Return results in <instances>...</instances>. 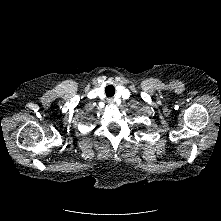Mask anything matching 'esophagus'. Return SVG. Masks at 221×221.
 Here are the masks:
<instances>
[{
	"label": "esophagus",
	"mask_w": 221,
	"mask_h": 221,
	"mask_svg": "<svg viewBox=\"0 0 221 221\" xmlns=\"http://www.w3.org/2000/svg\"><path fill=\"white\" fill-rule=\"evenodd\" d=\"M107 101H108V103H110V104L114 103V99H113V98H108Z\"/></svg>",
	"instance_id": "1"
}]
</instances>
